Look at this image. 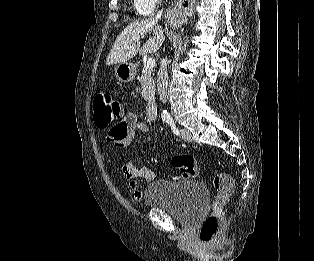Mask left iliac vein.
<instances>
[{
    "instance_id": "obj_1",
    "label": "left iliac vein",
    "mask_w": 314,
    "mask_h": 261,
    "mask_svg": "<svg viewBox=\"0 0 314 261\" xmlns=\"http://www.w3.org/2000/svg\"><path fill=\"white\" fill-rule=\"evenodd\" d=\"M181 137L183 140L187 141V142H190L192 141V137H191V133L189 132V130L187 129H182L181 130Z\"/></svg>"
}]
</instances>
